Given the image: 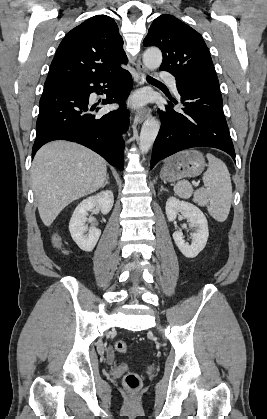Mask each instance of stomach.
Returning a JSON list of instances; mask_svg holds the SVG:
<instances>
[{
	"label": "stomach",
	"mask_w": 267,
	"mask_h": 419,
	"mask_svg": "<svg viewBox=\"0 0 267 419\" xmlns=\"http://www.w3.org/2000/svg\"><path fill=\"white\" fill-rule=\"evenodd\" d=\"M206 166L203 154L198 150H184L166 159L160 177L165 181H177L185 177H195Z\"/></svg>",
	"instance_id": "1"
}]
</instances>
